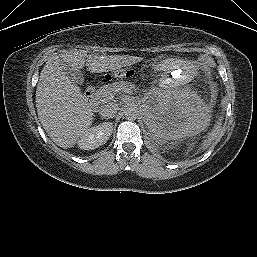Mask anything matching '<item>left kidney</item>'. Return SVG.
<instances>
[{"label":"left kidney","mask_w":257,"mask_h":257,"mask_svg":"<svg viewBox=\"0 0 257 257\" xmlns=\"http://www.w3.org/2000/svg\"><path fill=\"white\" fill-rule=\"evenodd\" d=\"M143 117L152 136L163 143L195 136L209 121L204 103L188 90L155 94L146 101Z\"/></svg>","instance_id":"1"}]
</instances>
